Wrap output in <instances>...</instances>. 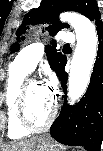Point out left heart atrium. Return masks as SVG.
<instances>
[{
	"label": "left heart atrium",
	"instance_id": "left-heart-atrium-1",
	"mask_svg": "<svg viewBox=\"0 0 103 151\" xmlns=\"http://www.w3.org/2000/svg\"><path fill=\"white\" fill-rule=\"evenodd\" d=\"M55 87H56V80L54 77H51L50 81L45 86H43V88L45 89V91L50 97L53 96Z\"/></svg>",
	"mask_w": 103,
	"mask_h": 151
}]
</instances>
